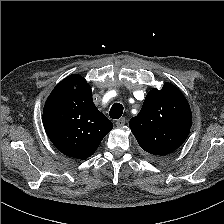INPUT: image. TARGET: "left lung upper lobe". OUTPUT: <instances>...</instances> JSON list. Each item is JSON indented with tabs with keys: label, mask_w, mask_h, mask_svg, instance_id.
Returning <instances> with one entry per match:
<instances>
[{
	"label": "left lung upper lobe",
	"mask_w": 224,
	"mask_h": 224,
	"mask_svg": "<svg viewBox=\"0 0 224 224\" xmlns=\"http://www.w3.org/2000/svg\"><path fill=\"white\" fill-rule=\"evenodd\" d=\"M191 125L190 106L171 83H165L161 90L149 91L139 114L129 122L141 148L159 156L178 149L187 139Z\"/></svg>",
	"instance_id": "5c2ea615"
}]
</instances>
